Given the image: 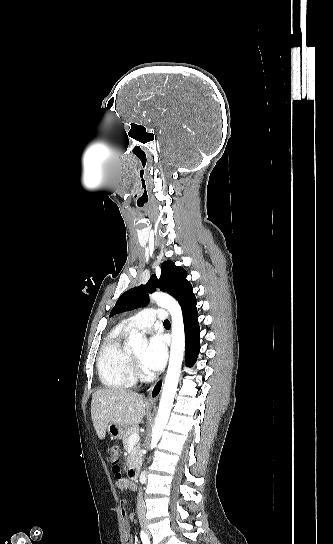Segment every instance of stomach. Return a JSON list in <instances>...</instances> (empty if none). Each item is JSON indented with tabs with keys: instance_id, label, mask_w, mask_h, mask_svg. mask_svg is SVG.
<instances>
[{
	"instance_id": "stomach-1",
	"label": "stomach",
	"mask_w": 333,
	"mask_h": 544,
	"mask_svg": "<svg viewBox=\"0 0 333 544\" xmlns=\"http://www.w3.org/2000/svg\"><path fill=\"white\" fill-rule=\"evenodd\" d=\"M106 430L112 439H121L126 429L118 424L110 423Z\"/></svg>"
}]
</instances>
